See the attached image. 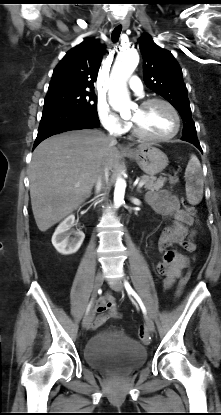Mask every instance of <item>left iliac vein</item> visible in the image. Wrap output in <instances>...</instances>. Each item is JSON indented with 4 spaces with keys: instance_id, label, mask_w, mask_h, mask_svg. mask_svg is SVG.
I'll list each match as a JSON object with an SVG mask.
<instances>
[{
    "instance_id": "1",
    "label": "left iliac vein",
    "mask_w": 221,
    "mask_h": 415,
    "mask_svg": "<svg viewBox=\"0 0 221 415\" xmlns=\"http://www.w3.org/2000/svg\"><path fill=\"white\" fill-rule=\"evenodd\" d=\"M111 288L117 292H123L124 290V285L121 281H115L113 283L110 284ZM145 324L146 327L148 328V330L150 332H154L155 330V326H154V322L152 321V319L148 316H145Z\"/></svg>"
}]
</instances>
